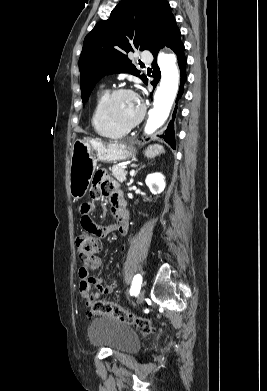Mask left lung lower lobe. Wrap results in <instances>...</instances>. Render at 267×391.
Returning <instances> with one entry per match:
<instances>
[{
	"label": "left lung lower lobe",
	"instance_id": "left-lung-lower-lobe-1",
	"mask_svg": "<svg viewBox=\"0 0 267 391\" xmlns=\"http://www.w3.org/2000/svg\"><path fill=\"white\" fill-rule=\"evenodd\" d=\"M164 46H167L170 49H172L175 52V54L177 55V59H178V65H179V68H180L181 81H180V87H179L178 96H177V99H176V103H177L178 100L181 98V96L183 94V86H184V83H185V80H186L185 66H186V63H187V59H186V57L184 55V45L181 42L180 30L178 29L177 25L174 26L169 31V33L164 38V40L161 43H159L156 47H154L153 50L151 51V53L154 56V61L152 63V67H153L152 77L154 78V80L151 82V84L154 87H156L157 83L160 80V69H159V67L157 65V61H156L157 54H158L159 49L164 47ZM147 83H148V80L145 82V84H147ZM175 112H176V110L174 111L173 119L175 117ZM160 137L163 138L172 148L175 149L173 120L169 123V125H168L167 129L165 130L164 134L161 135Z\"/></svg>",
	"mask_w": 267,
	"mask_h": 391
}]
</instances>
